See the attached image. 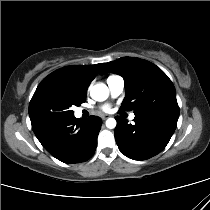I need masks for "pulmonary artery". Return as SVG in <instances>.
<instances>
[{
	"instance_id": "e3ab8cb5",
	"label": "pulmonary artery",
	"mask_w": 210,
	"mask_h": 210,
	"mask_svg": "<svg viewBox=\"0 0 210 210\" xmlns=\"http://www.w3.org/2000/svg\"><path fill=\"white\" fill-rule=\"evenodd\" d=\"M107 85L110 90L112 96L116 97L119 96L124 90V80L120 76H110L107 79ZM135 118L134 114L130 115V119L133 120Z\"/></svg>"
}]
</instances>
